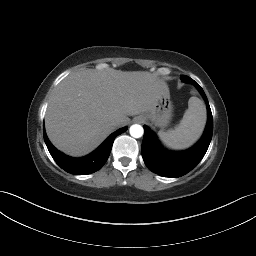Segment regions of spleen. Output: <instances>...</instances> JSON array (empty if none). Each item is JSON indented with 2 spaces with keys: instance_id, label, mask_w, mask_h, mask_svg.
<instances>
[{
  "instance_id": "1",
  "label": "spleen",
  "mask_w": 256,
  "mask_h": 256,
  "mask_svg": "<svg viewBox=\"0 0 256 256\" xmlns=\"http://www.w3.org/2000/svg\"><path fill=\"white\" fill-rule=\"evenodd\" d=\"M206 122V108L202 100L191 97L180 124L173 130L159 131L161 141L171 149H185L201 136Z\"/></svg>"
}]
</instances>
